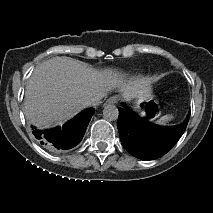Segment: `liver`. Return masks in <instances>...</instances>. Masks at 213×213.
<instances>
[{"label":"liver","instance_id":"1","mask_svg":"<svg viewBox=\"0 0 213 213\" xmlns=\"http://www.w3.org/2000/svg\"><path fill=\"white\" fill-rule=\"evenodd\" d=\"M117 89L126 98L150 91L147 80H126L121 73L96 71L87 64L57 56L40 64L25 91V113L39 128L62 124L87 107L86 100Z\"/></svg>","mask_w":213,"mask_h":213}]
</instances>
